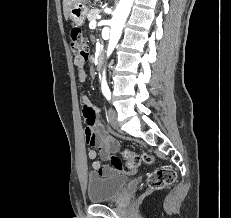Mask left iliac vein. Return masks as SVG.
Listing matches in <instances>:
<instances>
[{
	"mask_svg": "<svg viewBox=\"0 0 231 218\" xmlns=\"http://www.w3.org/2000/svg\"><path fill=\"white\" fill-rule=\"evenodd\" d=\"M108 119H109V122L111 123V125L117 129L119 127V123L117 121V116H116V113L114 111V109L110 108L108 110Z\"/></svg>",
	"mask_w": 231,
	"mask_h": 218,
	"instance_id": "left-iliac-vein-1",
	"label": "left iliac vein"
}]
</instances>
